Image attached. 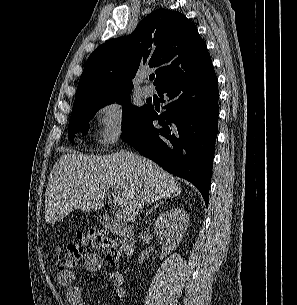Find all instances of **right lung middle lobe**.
<instances>
[{
  "mask_svg": "<svg viewBox=\"0 0 297 305\" xmlns=\"http://www.w3.org/2000/svg\"><path fill=\"white\" fill-rule=\"evenodd\" d=\"M131 91L126 90L108 96L89 98L75 102L68 127V138L70 142L74 143V133L81 131L83 134H86L89 130L86 124L94 117L95 112L103 106L110 104L112 101H120L124 105L122 108L123 131L137 123L143 117L149 105L136 107L130 104L131 97L128 94Z\"/></svg>",
  "mask_w": 297,
  "mask_h": 305,
  "instance_id": "1",
  "label": "right lung middle lobe"
}]
</instances>
